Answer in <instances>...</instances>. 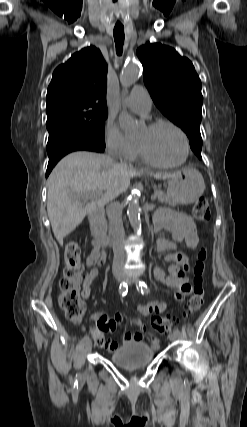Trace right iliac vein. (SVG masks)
Instances as JSON below:
<instances>
[{"label":"right iliac vein","mask_w":247,"mask_h":427,"mask_svg":"<svg viewBox=\"0 0 247 427\" xmlns=\"http://www.w3.org/2000/svg\"><path fill=\"white\" fill-rule=\"evenodd\" d=\"M117 279H118L119 282L121 281L120 277H118ZM91 349H92V341L88 340L86 342V344H85V351H86V353H89L91 351Z\"/></svg>","instance_id":"right-iliac-vein-1"}]
</instances>
